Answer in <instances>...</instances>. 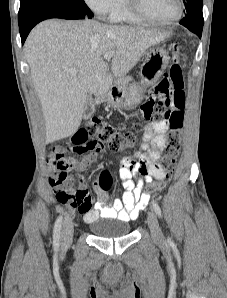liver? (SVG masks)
<instances>
[{
	"mask_svg": "<svg viewBox=\"0 0 227 298\" xmlns=\"http://www.w3.org/2000/svg\"><path fill=\"white\" fill-rule=\"evenodd\" d=\"M169 36L167 32L88 19H50L38 24L24 51L42 106L46 144L75 134L87 93L103 98L112 86V73L117 78L125 76L149 47ZM110 51L114 52L112 73L103 59Z\"/></svg>",
	"mask_w": 227,
	"mask_h": 298,
	"instance_id": "obj_1",
	"label": "liver"
}]
</instances>
